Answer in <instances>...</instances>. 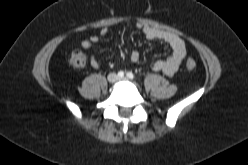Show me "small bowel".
<instances>
[{
  "mask_svg": "<svg viewBox=\"0 0 248 165\" xmlns=\"http://www.w3.org/2000/svg\"><path fill=\"white\" fill-rule=\"evenodd\" d=\"M144 36L149 40H160L168 44L172 53L165 60H157L153 63L152 68L154 71L162 72L167 76H173L177 73L179 67L186 58V46L181 37L177 34L158 29L154 26L138 24L137 26ZM108 34V29L103 28L99 35H92L89 38L81 42V47L84 50H90L93 45L99 42L101 37ZM140 53L138 51H132L130 53V60L133 63L140 61ZM90 66L94 69L100 68V63L94 54L89 57Z\"/></svg>",
  "mask_w": 248,
  "mask_h": 165,
  "instance_id": "small-bowel-1",
  "label": "small bowel"
}]
</instances>
